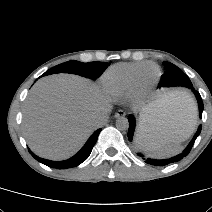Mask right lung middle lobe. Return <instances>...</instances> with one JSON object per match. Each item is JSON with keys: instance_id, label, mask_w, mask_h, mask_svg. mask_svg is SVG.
<instances>
[{"instance_id": "dd1d6c3e", "label": "right lung middle lobe", "mask_w": 212, "mask_h": 212, "mask_svg": "<svg viewBox=\"0 0 212 212\" xmlns=\"http://www.w3.org/2000/svg\"><path fill=\"white\" fill-rule=\"evenodd\" d=\"M108 66L109 64L107 62L82 63L72 60L59 64L46 72L48 75L54 73H72L95 80Z\"/></svg>"}]
</instances>
